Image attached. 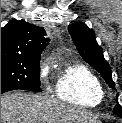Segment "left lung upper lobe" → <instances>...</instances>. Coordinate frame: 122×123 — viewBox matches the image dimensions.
Instances as JSON below:
<instances>
[{
  "mask_svg": "<svg viewBox=\"0 0 122 123\" xmlns=\"http://www.w3.org/2000/svg\"><path fill=\"white\" fill-rule=\"evenodd\" d=\"M68 31L81 57L101 73L111 88H115L112 80V71L108 62L104 59L101 46L97 44L94 31L89 29L84 23L72 24L68 26ZM113 112L122 117V107L119 104L115 106Z\"/></svg>",
  "mask_w": 122,
  "mask_h": 123,
  "instance_id": "5c2ea615",
  "label": "left lung upper lobe"
}]
</instances>
